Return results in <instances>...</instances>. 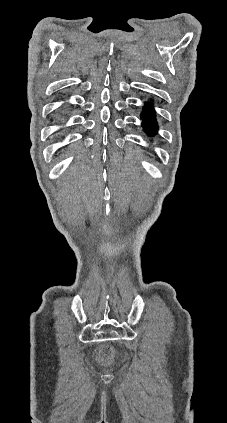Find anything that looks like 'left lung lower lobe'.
Listing matches in <instances>:
<instances>
[{
	"instance_id": "left-lung-lower-lobe-1",
	"label": "left lung lower lobe",
	"mask_w": 227,
	"mask_h": 423,
	"mask_svg": "<svg viewBox=\"0 0 227 423\" xmlns=\"http://www.w3.org/2000/svg\"><path fill=\"white\" fill-rule=\"evenodd\" d=\"M141 118L143 119V127L149 136H154L157 131L155 114L151 103H146Z\"/></svg>"
}]
</instances>
